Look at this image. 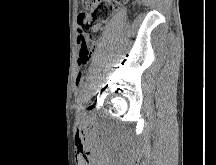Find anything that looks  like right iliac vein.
<instances>
[{
	"label": "right iliac vein",
	"mask_w": 216,
	"mask_h": 165,
	"mask_svg": "<svg viewBox=\"0 0 216 165\" xmlns=\"http://www.w3.org/2000/svg\"><path fill=\"white\" fill-rule=\"evenodd\" d=\"M83 108H84L83 106H80V107L78 108L77 117H80V116L82 115V109H83Z\"/></svg>",
	"instance_id": "obj_1"
}]
</instances>
